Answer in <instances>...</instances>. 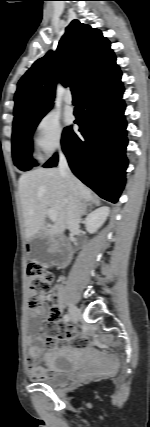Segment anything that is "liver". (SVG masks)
I'll return each instance as SVG.
<instances>
[{"label": "liver", "instance_id": "1", "mask_svg": "<svg viewBox=\"0 0 150 427\" xmlns=\"http://www.w3.org/2000/svg\"><path fill=\"white\" fill-rule=\"evenodd\" d=\"M78 197L92 201V191L80 180L74 178ZM19 193L25 225V237L30 239L39 232L55 236L67 227V209L70 190L57 168H38L24 173L19 178ZM54 208L57 218L51 228L45 226L47 210Z\"/></svg>", "mask_w": 150, "mask_h": 427}]
</instances>
